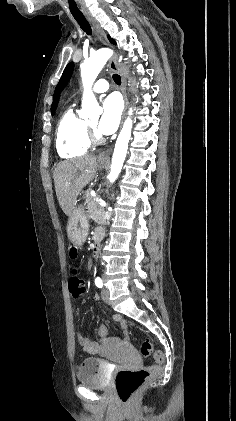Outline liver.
Segmentation results:
<instances>
[{
    "label": "liver",
    "mask_w": 236,
    "mask_h": 421,
    "mask_svg": "<svg viewBox=\"0 0 236 421\" xmlns=\"http://www.w3.org/2000/svg\"><path fill=\"white\" fill-rule=\"evenodd\" d=\"M97 170L96 156H78L75 160H61L53 170L55 190L63 213L69 217L76 198L92 180Z\"/></svg>",
    "instance_id": "obj_1"
}]
</instances>
